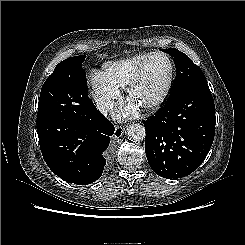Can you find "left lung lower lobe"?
Segmentation results:
<instances>
[{"label": "left lung lower lobe", "mask_w": 245, "mask_h": 245, "mask_svg": "<svg viewBox=\"0 0 245 245\" xmlns=\"http://www.w3.org/2000/svg\"><path fill=\"white\" fill-rule=\"evenodd\" d=\"M143 124L145 152L152 170L168 179L191 174L205 160L215 135V105L208 84L167 101Z\"/></svg>", "instance_id": "0a47b994"}]
</instances>
